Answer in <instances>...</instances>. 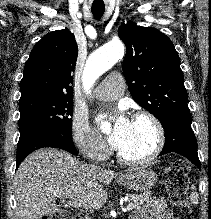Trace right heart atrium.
<instances>
[{
    "label": "right heart atrium",
    "instance_id": "obj_1",
    "mask_svg": "<svg viewBox=\"0 0 211 219\" xmlns=\"http://www.w3.org/2000/svg\"><path fill=\"white\" fill-rule=\"evenodd\" d=\"M71 131L75 146L85 157L96 161L104 160L107 157L108 147L92 130L85 118L75 116Z\"/></svg>",
    "mask_w": 211,
    "mask_h": 219
}]
</instances>
